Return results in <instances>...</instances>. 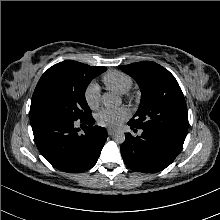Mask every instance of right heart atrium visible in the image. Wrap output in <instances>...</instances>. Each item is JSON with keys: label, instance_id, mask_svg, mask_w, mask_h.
Masks as SVG:
<instances>
[{"label": "right heart atrium", "instance_id": "d8ad5b80", "mask_svg": "<svg viewBox=\"0 0 220 220\" xmlns=\"http://www.w3.org/2000/svg\"><path fill=\"white\" fill-rule=\"evenodd\" d=\"M84 99L90 109H97L100 105V88L98 84L90 83L84 91Z\"/></svg>", "mask_w": 220, "mask_h": 220}]
</instances>
